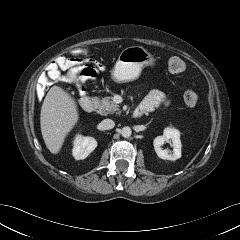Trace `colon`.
Instances as JSON below:
<instances>
[{"mask_svg": "<svg viewBox=\"0 0 240 240\" xmlns=\"http://www.w3.org/2000/svg\"><path fill=\"white\" fill-rule=\"evenodd\" d=\"M84 55L86 50L75 49L56 58L65 70H69L70 78L77 83L79 89L83 88L84 81L93 78L96 73L95 62L83 57ZM168 68L173 74H181L185 71L186 64L181 58L172 57L168 62ZM183 98L189 107L195 106L199 99L198 94L190 88L184 91Z\"/></svg>", "mask_w": 240, "mask_h": 240, "instance_id": "colon-1", "label": "colon"}]
</instances>
